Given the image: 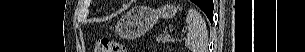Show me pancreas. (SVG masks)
I'll return each instance as SVG.
<instances>
[{
    "label": "pancreas",
    "instance_id": "obj_1",
    "mask_svg": "<svg viewBox=\"0 0 305 52\" xmlns=\"http://www.w3.org/2000/svg\"><path fill=\"white\" fill-rule=\"evenodd\" d=\"M174 39L170 35H165L163 37H158L157 41L162 43H169L173 41Z\"/></svg>",
    "mask_w": 305,
    "mask_h": 52
}]
</instances>
